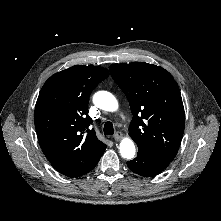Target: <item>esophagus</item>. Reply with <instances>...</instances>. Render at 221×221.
Segmentation results:
<instances>
[{"mask_svg": "<svg viewBox=\"0 0 221 221\" xmlns=\"http://www.w3.org/2000/svg\"><path fill=\"white\" fill-rule=\"evenodd\" d=\"M122 137H123V134H122L121 132H117V133L113 136V138H114L115 141L121 140Z\"/></svg>", "mask_w": 221, "mask_h": 221, "instance_id": "esophagus-1", "label": "esophagus"}]
</instances>
